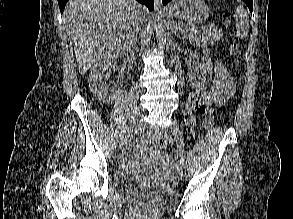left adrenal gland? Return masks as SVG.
Returning a JSON list of instances; mask_svg holds the SVG:
<instances>
[{
	"label": "left adrenal gland",
	"mask_w": 293,
	"mask_h": 219,
	"mask_svg": "<svg viewBox=\"0 0 293 219\" xmlns=\"http://www.w3.org/2000/svg\"><path fill=\"white\" fill-rule=\"evenodd\" d=\"M172 31H173L175 34H176L178 31H180V30H178V28H177L175 22H173V24H172Z\"/></svg>",
	"instance_id": "obj_1"
}]
</instances>
